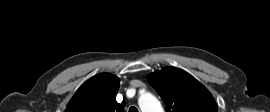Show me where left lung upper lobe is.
<instances>
[{"label": "left lung upper lobe", "mask_w": 270, "mask_h": 112, "mask_svg": "<svg viewBox=\"0 0 270 112\" xmlns=\"http://www.w3.org/2000/svg\"><path fill=\"white\" fill-rule=\"evenodd\" d=\"M148 81L166 104V112H218L211 93L193 76L166 67L148 76Z\"/></svg>", "instance_id": "obj_1"}]
</instances>
